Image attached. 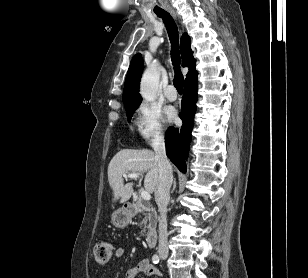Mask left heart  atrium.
I'll return each instance as SVG.
<instances>
[{
	"label": "left heart atrium",
	"mask_w": 308,
	"mask_h": 278,
	"mask_svg": "<svg viewBox=\"0 0 308 278\" xmlns=\"http://www.w3.org/2000/svg\"><path fill=\"white\" fill-rule=\"evenodd\" d=\"M167 116L170 120H174L176 118V111L173 108H169L167 110Z\"/></svg>",
	"instance_id": "1"
}]
</instances>
